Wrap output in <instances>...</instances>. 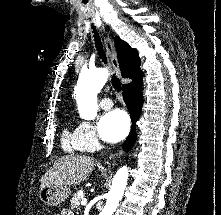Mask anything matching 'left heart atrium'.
Returning <instances> with one entry per match:
<instances>
[{"instance_id":"left-heart-atrium-1","label":"left heart atrium","mask_w":221,"mask_h":215,"mask_svg":"<svg viewBox=\"0 0 221 215\" xmlns=\"http://www.w3.org/2000/svg\"><path fill=\"white\" fill-rule=\"evenodd\" d=\"M130 128L127 113L121 109H114L103 115L99 122V132L102 138L109 142L123 139Z\"/></svg>"}]
</instances>
